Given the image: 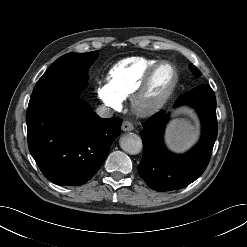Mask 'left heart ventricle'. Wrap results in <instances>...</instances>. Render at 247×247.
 Instances as JSON below:
<instances>
[{"mask_svg":"<svg viewBox=\"0 0 247 247\" xmlns=\"http://www.w3.org/2000/svg\"><path fill=\"white\" fill-rule=\"evenodd\" d=\"M174 78L172 69L169 66H162L154 74L147 89L145 104H150L159 99L170 87Z\"/></svg>","mask_w":247,"mask_h":247,"instance_id":"1","label":"left heart ventricle"}]
</instances>
